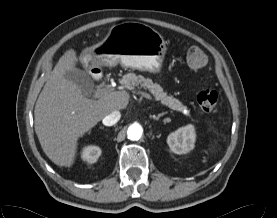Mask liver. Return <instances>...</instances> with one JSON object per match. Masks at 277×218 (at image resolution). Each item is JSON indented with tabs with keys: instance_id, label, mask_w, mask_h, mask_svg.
I'll use <instances>...</instances> for the list:
<instances>
[{
	"instance_id": "obj_1",
	"label": "liver",
	"mask_w": 277,
	"mask_h": 218,
	"mask_svg": "<svg viewBox=\"0 0 277 218\" xmlns=\"http://www.w3.org/2000/svg\"><path fill=\"white\" fill-rule=\"evenodd\" d=\"M77 61L73 49L60 57L34 110L40 145L47 157L61 167L73 165L80 137L112 111L125 109L129 100L127 93L119 91L108 92L97 100L86 98L81 89L64 76L75 69Z\"/></svg>"
}]
</instances>
